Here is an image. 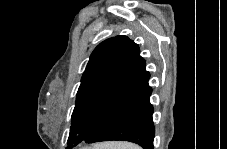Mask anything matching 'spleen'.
Returning a JSON list of instances; mask_svg holds the SVG:
<instances>
[{
    "label": "spleen",
    "mask_w": 227,
    "mask_h": 149,
    "mask_svg": "<svg viewBox=\"0 0 227 149\" xmlns=\"http://www.w3.org/2000/svg\"><path fill=\"white\" fill-rule=\"evenodd\" d=\"M99 149H140L137 145L127 142H109L100 144Z\"/></svg>",
    "instance_id": "3e777b00"
}]
</instances>
